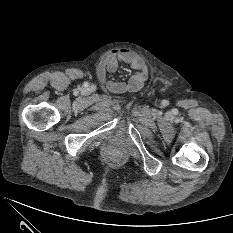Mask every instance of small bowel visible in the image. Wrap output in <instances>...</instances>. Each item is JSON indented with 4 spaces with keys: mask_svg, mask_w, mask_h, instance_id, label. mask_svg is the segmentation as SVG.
I'll list each match as a JSON object with an SVG mask.
<instances>
[{
    "mask_svg": "<svg viewBox=\"0 0 233 233\" xmlns=\"http://www.w3.org/2000/svg\"><path fill=\"white\" fill-rule=\"evenodd\" d=\"M119 63L131 67L135 73L126 82L108 81L107 89L113 93L121 94L140 90L148 79V68L142 59L128 49H116L110 52L98 67L101 77L116 71Z\"/></svg>",
    "mask_w": 233,
    "mask_h": 233,
    "instance_id": "c3829d8e",
    "label": "small bowel"
}]
</instances>
